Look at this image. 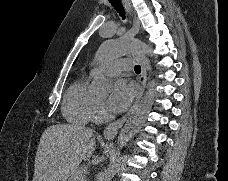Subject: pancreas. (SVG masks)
Segmentation results:
<instances>
[{
  "mask_svg": "<svg viewBox=\"0 0 228 181\" xmlns=\"http://www.w3.org/2000/svg\"><path fill=\"white\" fill-rule=\"evenodd\" d=\"M88 171L85 167H78L69 177V181H86Z\"/></svg>",
  "mask_w": 228,
  "mask_h": 181,
  "instance_id": "1",
  "label": "pancreas"
}]
</instances>
